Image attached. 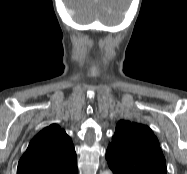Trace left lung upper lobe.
<instances>
[{"label": "left lung upper lobe", "instance_id": "1", "mask_svg": "<svg viewBox=\"0 0 187 174\" xmlns=\"http://www.w3.org/2000/svg\"><path fill=\"white\" fill-rule=\"evenodd\" d=\"M113 174H166V162L152 130L120 121L106 151Z\"/></svg>", "mask_w": 187, "mask_h": 174}]
</instances>
